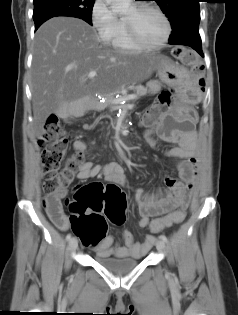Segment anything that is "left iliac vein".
Returning a JSON list of instances; mask_svg holds the SVG:
<instances>
[{
  "label": "left iliac vein",
  "instance_id": "4c4485c4",
  "mask_svg": "<svg viewBox=\"0 0 238 315\" xmlns=\"http://www.w3.org/2000/svg\"><path fill=\"white\" fill-rule=\"evenodd\" d=\"M156 247L160 252H163L165 250V243L162 239H159L156 243Z\"/></svg>",
  "mask_w": 238,
  "mask_h": 315
}]
</instances>
